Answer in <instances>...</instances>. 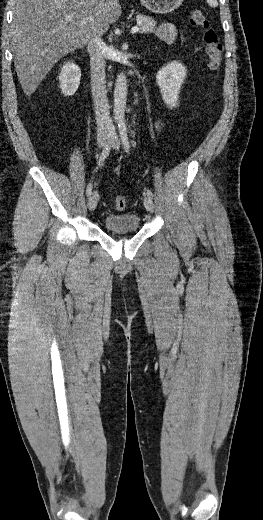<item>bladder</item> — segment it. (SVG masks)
Segmentation results:
<instances>
[{
	"label": "bladder",
	"instance_id": "bladder-1",
	"mask_svg": "<svg viewBox=\"0 0 263 520\" xmlns=\"http://www.w3.org/2000/svg\"><path fill=\"white\" fill-rule=\"evenodd\" d=\"M104 229L113 234L137 232L141 227V219L135 213L108 214L103 219Z\"/></svg>",
	"mask_w": 263,
	"mask_h": 520
}]
</instances>
